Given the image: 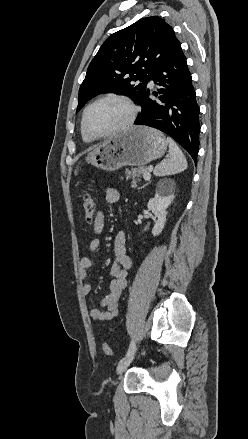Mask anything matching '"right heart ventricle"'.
Listing matches in <instances>:
<instances>
[{
  "label": "right heart ventricle",
  "instance_id": "obj_1",
  "mask_svg": "<svg viewBox=\"0 0 248 439\" xmlns=\"http://www.w3.org/2000/svg\"><path fill=\"white\" fill-rule=\"evenodd\" d=\"M81 133H82V138H83V140H84L85 142L90 143V142L93 141V139H91V138H89L88 136H86V135L83 133V131H81Z\"/></svg>",
  "mask_w": 248,
  "mask_h": 439
}]
</instances>
